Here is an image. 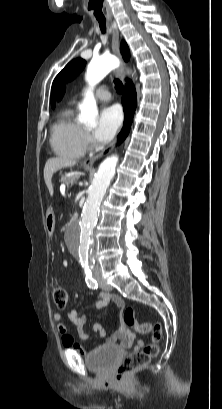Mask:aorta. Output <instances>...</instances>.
Listing matches in <instances>:
<instances>
[{"mask_svg":"<svg viewBox=\"0 0 222 409\" xmlns=\"http://www.w3.org/2000/svg\"><path fill=\"white\" fill-rule=\"evenodd\" d=\"M119 66V60L110 55H103L90 62L87 68L86 81L89 89L80 105L81 122L93 126L98 115L97 105L92 93L93 87L110 71ZM118 156L106 158L99 166L92 187L83 207L79 222L70 232L71 248L79 256L81 264L88 265L94 239V227L98 218L100 204L115 174Z\"/></svg>","mask_w":222,"mask_h":409,"instance_id":"aorta-1","label":"aorta"}]
</instances>
